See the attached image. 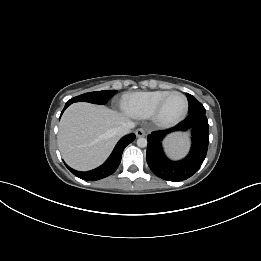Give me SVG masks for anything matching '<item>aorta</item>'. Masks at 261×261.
<instances>
[{"instance_id": "obj_1", "label": "aorta", "mask_w": 261, "mask_h": 261, "mask_svg": "<svg viewBox=\"0 0 261 261\" xmlns=\"http://www.w3.org/2000/svg\"><path fill=\"white\" fill-rule=\"evenodd\" d=\"M137 145H138V147H141V148L146 147L147 146V139L143 138V137L138 138Z\"/></svg>"}]
</instances>
